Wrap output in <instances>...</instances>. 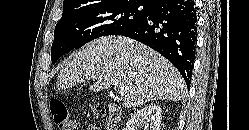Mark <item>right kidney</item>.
I'll list each match as a JSON object with an SVG mask.
<instances>
[{
  "label": "right kidney",
  "mask_w": 249,
  "mask_h": 130,
  "mask_svg": "<svg viewBox=\"0 0 249 130\" xmlns=\"http://www.w3.org/2000/svg\"><path fill=\"white\" fill-rule=\"evenodd\" d=\"M161 108L158 105H148L134 112L126 124L125 130H160Z\"/></svg>",
  "instance_id": "obj_1"
}]
</instances>
